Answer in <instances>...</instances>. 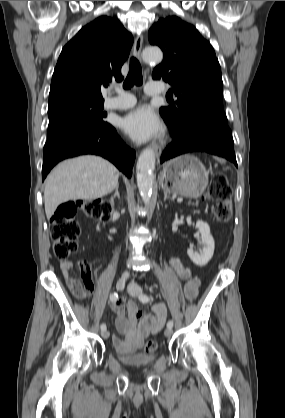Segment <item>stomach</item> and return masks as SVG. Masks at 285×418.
<instances>
[{
	"instance_id": "stomach-1",
	"label": "stomach",
	"mask_w": 285,
	"mask_h": 418,
	"mask_svg": "<svg viewBox=\"0 0 285 418\" xmlns=\"http://www.w3.org/2000/svg\"><path fill=\"white\" fill-rule=\"evenodd\" d=\"M161 184L165 192L197 198L208 185V172L195 156H178L163 165Z\"/></svg>"
}]
</instances>
